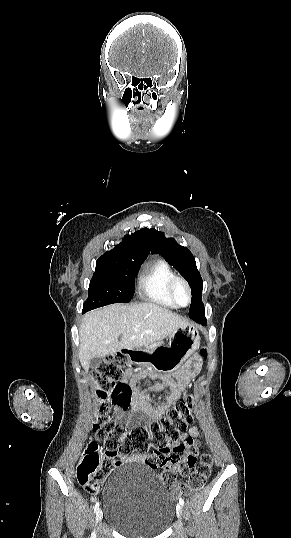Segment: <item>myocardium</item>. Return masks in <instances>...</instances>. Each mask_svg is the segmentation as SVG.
Returning a JSON list of instances; mask_svg holds the SVG:
<instances>
[{
    "label": "myocardium",
    "mask_w": 291,
    "mask_h": 538,
    "mask_svg": "<svg viewBox=\"0 0 291 538\" xmlns=\"http://www.w3.org/2000/svg\"><path fill=\"white\" fill-rule=\"evenodd\" d=\"M179 286H182L185 289L186 293H187V302L185 304H181L179 302L178 298H177V288ZM169 294H170V297H171L172 301L176 305V307H187L192 302V291H191L190 285L184 278H182L180 276H175L170 281Z\"/></svg>",
    "instance_id": "f54148a6"
}]
</instances>
